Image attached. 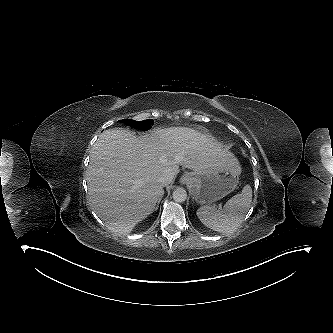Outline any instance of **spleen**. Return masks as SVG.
<instances>
[{"instance_id":"spleen-1","label":"spleen","mask_w":333,"mask_h":333,"mask_svg":"<svg viewBox=\"0 0 333 333\" xmlns=\"http://www.w3.org/2000/svg\"><path fill=\"white\" fill-rule=\"evenodd\" d=\"M251 202L252 189L250 185H246L240 194L226 202L223 209H217L212 205L201 206L197 210V216L208 228L217 232L229 233L240 226Z\"/></svg>"}]
</instances>
